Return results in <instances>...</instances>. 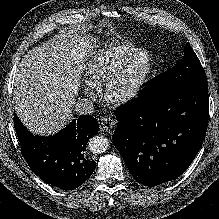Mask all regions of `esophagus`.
I'll return each instance as SVG.
<instances>
[{
  "label": "esophagus",
  "mask_w": 219,
  "mask_h": 219,
  "mask_svg": "<svg viewBox=\"0 0 219 219\" xmlns=\"http://www.w3.org/2000/svg\"><path fill=\"white\" fill-rule=\"evenodd\" d=\"M99 123L102 130H110L114 126V121L110 117L101 118Z\"/></svg>",
  "instance_id": "34e87169"
}]
</instances>
